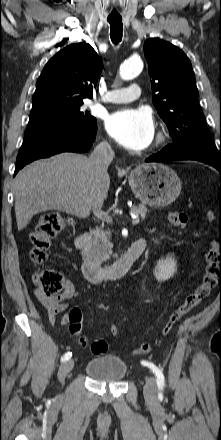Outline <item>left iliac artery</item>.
I'll return each mask as SVG.
<instances>
[{
	"label": "left iliac artery",
	"instance_id": "44dca946",
	"mask_svg": "<svg viewBox=\"0 0 221 440\" xmlns=\"http://www.w3.org/2000/svg\"><path fill=\"white\" fill-rule=\"evenodd\" d=\"M142 364L148 366L153 373L156 375V382L158 389L161 391L165 385V378L161 369H159L155 364L142 361Z\"/></svg>",
	"mask_w": 221,
	"mask_h": 440
}]
</instances>
